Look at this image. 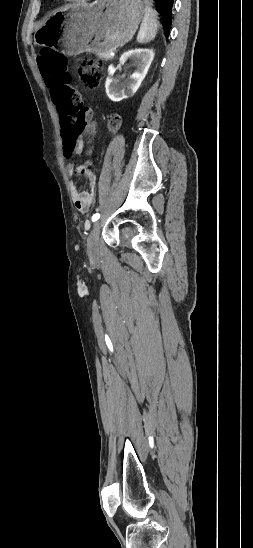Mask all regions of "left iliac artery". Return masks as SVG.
Listing matches in <instances>:
<instances>
[{"mask_svg": "<svg viewBox=\"0 0 253 548\" xmlns=\"http://www.w3.org/2000/svg\"><path fill=\"white\" fill-rule=\"evenodd\" d=\"M99 218H100V214H99V213L94 214V215L92 216V222L97 221Z\"/></svg>", "mask_w": 253, "mask_h": 548, "instance_id": "obj_1", "label": "left iliac artery"}]
</instances>
